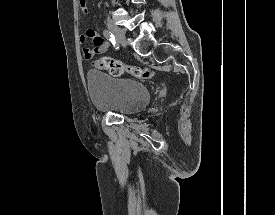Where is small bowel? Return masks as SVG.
Listing matches in <instances>:
<instances>
[{
    "label": "small bowel",
    "mask_w": 275,
    "mask_h": 215,
    "mask_svg": "<svg viewBox=\"0 0 275 215\" xmlns=\"http://www.w3.org/2000/svg\"><path fill=\"white\" fill-rule=\"evenodd\" d=\"M84 13L88 14L89 10L85 8ZM89 39L94 45V52H104L110 47V44L105 42L103 38L94 30H86L83 34L80 35L79 38L82 44H84ZM94 52L88 47L82 48V56L86 60H90L93 57Z\"/></svg>",
    "instance_id": "small-bowel-1"
}]
</instances>
